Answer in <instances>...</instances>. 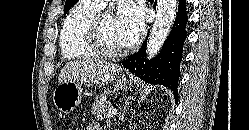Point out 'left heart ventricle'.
<instances>
[{
  "instance_id": "b2bd125f",
  "label": "left heart ventricle",
  "mask_w": 249,
  "mask_h": 130,
  "mask_svg": "<svg viewBox=\"0 0 249 130\" xmlns=\"http://www.w3.org/2000/svg\"><path fill=\"white\" fill-rule=\"evenodd\" d=\"M102 33L106 44L112 49L125 47L116 26L115 17L107 14L102 21Z\"/></svg>"
}]
</instances>
